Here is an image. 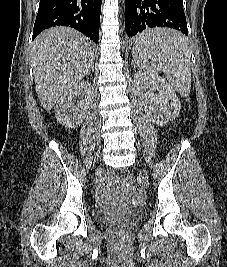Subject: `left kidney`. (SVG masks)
Listing matches in <instances>:
<instances>
[{"instance_id":"obj_1","label":"left kidney","mask_w":227,"mask_h":267,"mask_svg":"<svg viewBox=\"0 0 227 267\" xmlns=\"http://www.w3.org/2000/svg\"><path fill=\"white\" fill-rule=\"evenodd\" d=\"M134 82L144 109L157 125L163 126L174 120L180 113L181 104L170 83L161 77H145L138 71ZM158 91V95H155Z\"/></svg>"}]
</instances>
